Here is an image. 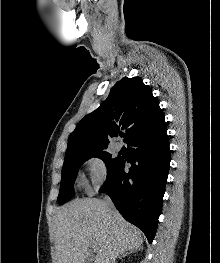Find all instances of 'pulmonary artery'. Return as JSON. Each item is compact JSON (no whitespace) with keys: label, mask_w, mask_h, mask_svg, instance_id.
<instances>
[{"label":"pulmonary artery","mask_w":220,"mask_h":263,"mask_svg":"<svg viewBox=\"0 0 220 263\" xmlns=\"http://www.w3.org/2000/svg\"><path fill=\"white\" fill-rule=\"evenodd\" d=\"M115 149H116L117 151H120V150L122 149V143H121V142H117V143L115 144Z\"/></svg>","instance_id":"pulmonary-artery-1"}]
</instances>
